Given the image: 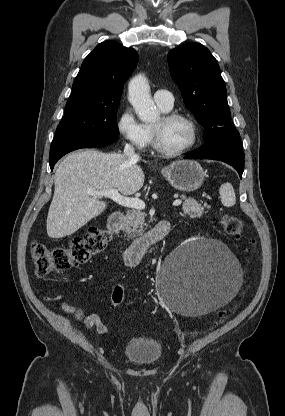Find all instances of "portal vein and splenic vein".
Segmentation results:
<instances>
[{
    "label": "portal vein and splenic vein",
    "mask_w": 285,
    "mask_h": 416,
    "mask_svg": "<svg viewBox=\"0 0 285 416\" xmlns=\"http://www.w3.org/2000/svg\"><path fill=\"white\" fill-rule=\"evenodd\" d=\"M86 194L88 196H105V198H110L116 204H120V206H125V208H135V210H144L145 204L143 200H139V198H125V196H121L116 188H112V190H87ZM182 204V200H175L173 202V206H180Z\"/></svg>",
    "instance_id": "1"
}]
</instances>
